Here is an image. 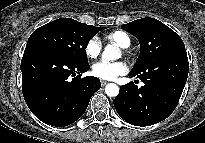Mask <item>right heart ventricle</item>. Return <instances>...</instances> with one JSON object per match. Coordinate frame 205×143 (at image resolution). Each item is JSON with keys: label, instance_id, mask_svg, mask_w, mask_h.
Instances as JSON below:
<instances>
[{"label": "right heart ventricle", "instance_id": "e07e8e85", "mask_svg": "<svg viewBox=\"0 0 205 143\" xmlns=\"http://www.w3.org/2000/svg\"><path fill=\"white\" fill-rule=\"evenodd\" d=\"M105 39L116 43L121 48H128L131 45L130 36L122 30H116L105 35Z\"/></svg>", "mask_w": 205, "mask_h": 143}]
</instances>
